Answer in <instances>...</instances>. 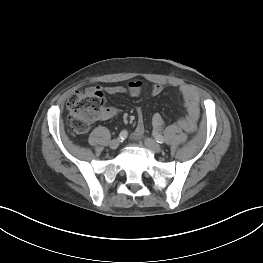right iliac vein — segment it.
Wrapping results in <instances>:
<instances>
[{
  "label": "right iliac vein",
  "mask_w": 263,
  "mask_h": 263,
  "mask_svg": "<svg viewBox=\"0 0 263 263\" xmlns=\"http://www.w3.org/2000/svg\"><path fill=\"white\" fill-rule=\"evenodd\" d=\"M120 139L119 138H117V139H113L111 142H110V148L111 149H117L118 147H119V145H120Z\"/></svg>",
  "instance_id": "1"
}]
</instances>
